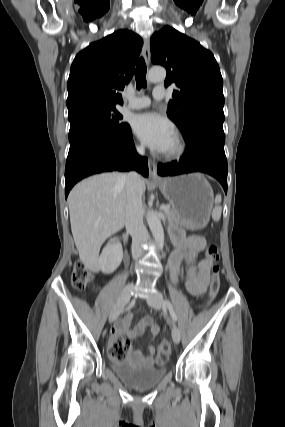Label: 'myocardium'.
<instances>
[{"label": "myocardium", "mask_w": 285, "mask_h": 427, "mask_svg": "<svg viewBox=\"0 0 285 427\" xmlns=\"http://www.w3.org/2000/svg\"><path fill=\"white\" fill-rule=\"evenodd\" d=\"M174 140H175L174 147L170 151L164 152L162 154L163 159L175 160L181 157L182 154L184 153L186 149V142L184 137L179 132H176L174 134Z\"/></svg>", "instance_id": "myocardium-1"}]
</instances>
